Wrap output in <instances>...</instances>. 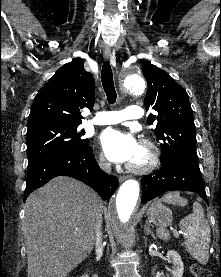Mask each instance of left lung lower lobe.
Instances as JSON below:
<instances>
[{"instance_id": "0a47b994", "label": "left lung lower lobe", "mask_w": 221, "mask_h": 277, "mask_svg": "<svg viewBox=\"0 0 221 277\" xmlns=\"http://www.w3.org/2000/svg\"><path fill=\"white\" fill-rule=\"evenodd\" d=\"M141 183L142 202H147L168 191L186 190L198 193L208 203L201 172L184 164L162 165L157 173L143 176Z\"/></svg>"}]
</instances>
